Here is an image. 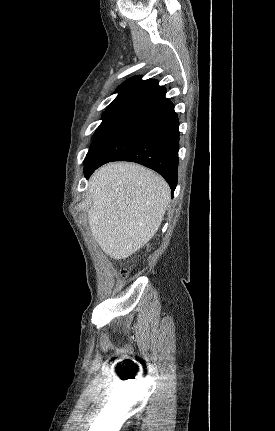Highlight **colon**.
<instances>
[{"label": "colon", "mask_w": 275, "mask_h": 431, "mask_svg": "<svg viewBox=\"0 0 275 431\" xmlns=\"http://www.w3.org/2000/svg\"><path fill=\"white\" fill-rule=\"evenodd\" d=\"M126 275H127V272L125 271V270H122L121 272H120V276L121 277H126Z\"/></svg>", "instance_id": "obj_1"}]
</instances>
